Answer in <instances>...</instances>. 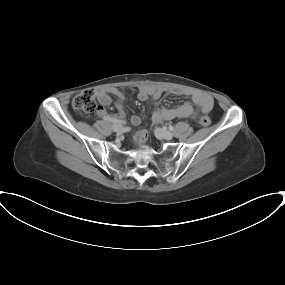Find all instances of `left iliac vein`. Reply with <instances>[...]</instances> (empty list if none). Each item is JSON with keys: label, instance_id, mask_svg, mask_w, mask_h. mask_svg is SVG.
<instances>
[{"label": "left iliac vein", "instance_id": "1", "mask_svg": "<svg viewBox=\"0 0 285 285\" xmlns=\"http://www.w3.org/2000/svg\"><path fill=\"white\" fill-rule=\"evenodd\" d=\"M155 134L157 137L163 138L165 140H171L173 138V134L170 131L162 128H156Z\"/></svg>", "mask_w": 285, "mask_h": 285}]
</instances>
